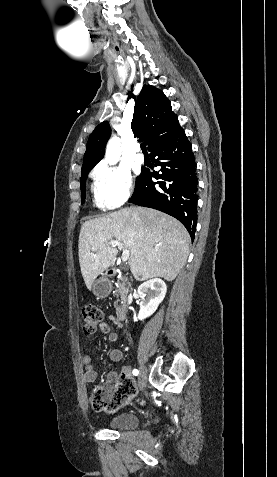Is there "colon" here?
<instances>
[{"mask_svg": "<svg viewBox=\"0 0 277 477\" xmlns=\"http://www.w3.org/2000/svg\"><path fill=\"white\" fill-rule=\"evenodd\" d=\"M83 329L85 334L92 336L101 320L103 312L94 303L86 304L81 312ZM135 387L130 380H121L116 383L97 385L90 397L92 408L97 412L112 413L126 404L134 394Z\"/></svg>", "mask_w": 277, "mask_h": 477, "instance_id": "colon-1", "label": "colon"}]
</instances>
